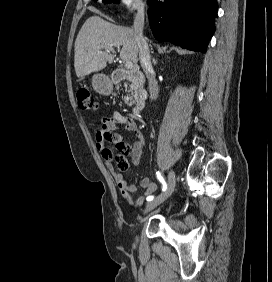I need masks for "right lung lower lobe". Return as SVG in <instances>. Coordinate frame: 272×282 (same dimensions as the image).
Returning a JSON list of instances; mask_svg holds the SVG:
<instances>
[{
  "label": "right lung lower lobe",
  "mask_w": 272,
  "mask_h": 282,
  "mask_svg": "<svg viewBox=\"0 0 272 282\" xmlns=\"http://www.w3.org/2000/svg\"><path fill=\"white\" fill-rule=\"evenodd\" d=\"M148 4L150 27L158 41L206 52L215 31L216 0H149Z\"/></svg>",
  "instance_id": "98d812e1"
}]
</instances>
